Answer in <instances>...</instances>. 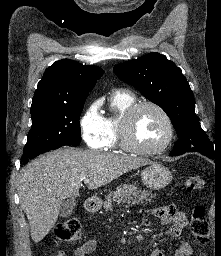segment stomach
Listing matches in <instances>:
<instances>
[{"mask_svg":"<svg viewBox=\"0 0 221 256\" xmlns=\"http://www.w3.org/2000/svg\"><path fill=\"white\" fill-rule=\"evenodd\" d=\"M173 176L170 170L159 163H151L141 172L143 184L152 190L165 188L172 180ZM97 207H100L101 201L96 200Z\"/></svg>","mask_w":221,"mask_h":256,"instance_id":"1","label":"stomach"}]
</instances>
